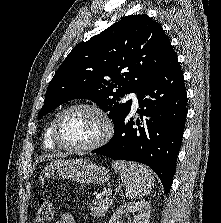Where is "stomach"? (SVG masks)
<instances>
[{
  "label": "stomach",
  "instance_id": "0dacf381",
  "mask_svg": "<svg viewBox=\"0 0 221 223\" xmlns=\"http://www.w3.org/2000/svg\"><path fill=\"white\" fill-rule=\"evenodd\" d=\"M43 173L46 178L69 179L86 184H101L109 179L108 169L83 158L51 162Z\"/></svg>",
  "mask_w": 221,
  "mask_h": 223
}]
</instances>
